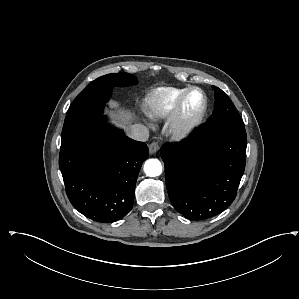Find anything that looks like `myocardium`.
Returning a JSON list of instances; mask_svg holds the SVG:
<instances>
[{"label": "myocardium", "instance_id": "myocardium-1", "mask_svg": "<svg viewBox=\"0 0 299 299\" xmlns=\"http://www.w3.org/2000/svg\"><path fill=\"white\" fill-rule=\"evenodd\" d=\"M193 92H198L202 97V105L199 111L192 115L185 114V103L189 95ZM208 109V98L205 92L198 87H190L186 89L178 101L176 102L169 118L168 128L170 134L177 138L182 139L193 132L203 122Z\"/></svg>", "mask_w": 299, "mask_h": 299}]
</instances>
